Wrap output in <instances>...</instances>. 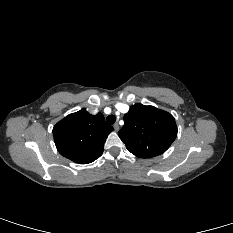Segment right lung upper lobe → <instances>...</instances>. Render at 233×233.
<instances>
[{
    "instance_id": "obj_1",
    "label": "right lung upper lobe",
    "mask_w": 233,
    "mask_h": 233,
    "mask_svg": "<svg viewBox=\"0 0 233 233\" xmlns=\"http://www.w3.org/2000/svg\"><path fill=\"white\" fill-rule=\"evenodd\" d=\"M111 131L113 127L106 124L101 113L91 115L81 109L59 121L53 128V136L61 155L78 164H87L102 155Z\"/></svg>"
}]
</instances>
